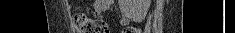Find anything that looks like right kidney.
I'll use <instances>...</instances> for the list:
<instances>
[{"instance_id":"ca27d5eb","label":"right kidney","mask_w":235,"mask_h":33,"mask_svg":"<svg viewBox=\"0 0 235 33\" xmlns=\"http://www.w3.org/2000/svg\"><path fill=\"white\" fill-rule=\"evenodd\" d=\"M150 0H120V8L124 15L133 19H143L147 14Z\"/></svg>"}]
</instances>
